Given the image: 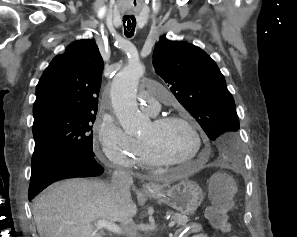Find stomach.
Returning <instances> with one entry per match:
<instances>
[{
  "instance_id": "1",
  "label": "stomach",
  "mask_w": 297,
  "mask_h": 237,
  "mask_svg": "<svg viewBox=\"0 0 297 237\" xmlns=\"http://www.w3.org/2000/svg\"><path fill=\"white\" fill-rule=\"evenodd\" d=\"M147 195L182 214H193L204 199L200 186L187 179L166 190L158 187L154 191H148Z\"/></svg>"
}]
</instances>
